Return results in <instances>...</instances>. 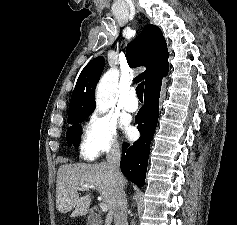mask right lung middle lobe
I'll use <instances>...</instances> for the list:
<instances>
[{
  "label": "right lung middle lobe",
  "mask_w": 237,
  "mask_h": 225,
  "mask_svg": "<svg viewBox=\"0 0 237 225\" xmlns=\"http://www.w3.org/2000/svg\"><path fill=\"white\" fill-rule=\"evenodd\" d=\"M90 114L84 111H70L68 112V123L71 125L66 132V140L69 146L79 145V138L82 132L80 125Z\"/></svg>",
  "instance_id": "obj_1"
}]
</instances>
